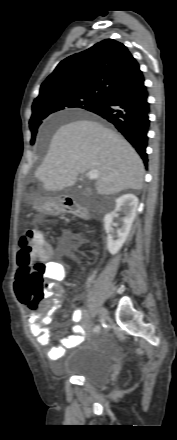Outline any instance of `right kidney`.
Segmentation results:
<instances>
[{
  "mask_svg": "<svg viewBox=\"0 0 177 440\" xmlns=\"http://www.w3.org/2000/svg\"><path fill=\"white\" fill-rule=\"evenodd\" d=\"M137 207L138 198L131 193L124 194L115 200L113 211L104 217V228L107 233V249L110 254L115 255L125 243L136 217ZM118 211H122L124 217L122 218L121 228L117 230V240H114L110 235L111 223L113 219L117 217Z\"/></svg>",
  "mask_w": 177,
  "mask_h": 440,
  "instance_id": "right-kidney-1",
  "label": "right kidney"
}]
</instances>
